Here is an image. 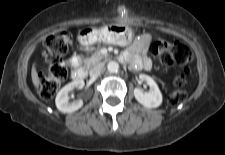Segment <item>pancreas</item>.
I'll return each mask as SVG.
<instances>
[{"instance_id":"cf45deb5","label":"pancreas","mask_w":225,"mask_h":155,"mask_svg":"<svg viewBox=\"0 0 225 155\" xmlns=\"http://www.w3.org/2000/svg\"><path fill=\"white\" fill-rule=\"evenodd\" d=\"M105 56L101 54L100 51H96L89 59L85 61V64L90 67L91 65H94L95 63L102 60Z\"/></svg>"}]
</instances>
